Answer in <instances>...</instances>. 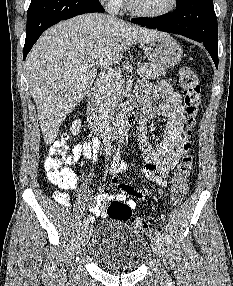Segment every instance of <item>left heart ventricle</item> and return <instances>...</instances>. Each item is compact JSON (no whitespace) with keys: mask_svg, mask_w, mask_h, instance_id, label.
Instances as JSON below:
<instances>
[{"mask_svg":"<svg viewBox=\"0 0 233 286\" xmlns=\"http://www.w3.org/2000/svg\"><path fill=\"white\" fill-rule=\"evenodd\" d=\"M135 5L148 12H160L165 10L171 0H133Z\"/></svg>","mask_w":233,"mask_h":286,"instance_id":"1","label":"left heart ventricle"}]
</instances>
